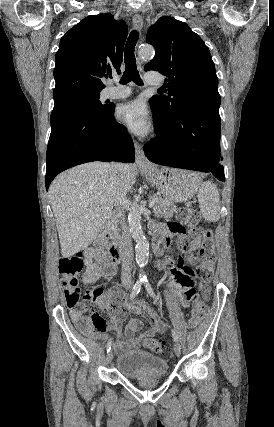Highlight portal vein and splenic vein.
<instances>
[{
	"label": "portal vein and splenic vein",
	"mask_w": 274,
	"mask_h": 427,
	"mask_svg": "<svg viewBox=\"0 0 274 427\" xmlns=\"http://www.w3.org/2000/svg\"><path fill=\"white\" fill-rule=\"evenodd\" d=\"M152 206H154V200H153V202H150L149 208H152Z\"/></svg>",
	"instance_id": "obj_1"
}]
</instances>
